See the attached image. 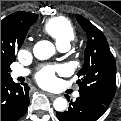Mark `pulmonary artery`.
I'll return each instance as SVG.
<instances>
[{
	"instance_id": "e3ab8cb5",
	"label": "pulmonary artery",
	"mask_w": 121,
	"mask_h": 121,
	"mask_svg": "<svg viewBox=\"0 0 121 121\" xmlns=\"http://www.w3.org/2000/svg\"><path fill=\"white\" fill-rule=\"evenodd\" d=\"M59 49L63 52L67 51L69 49V46H61L59 47ZM29 74V70L28 69H24V68H18V69H14L11 72V76L12 78H18V77H22V76H27ZM79 92H75L74 93V97H79Z\"/></svg>"
}]
</instances>
